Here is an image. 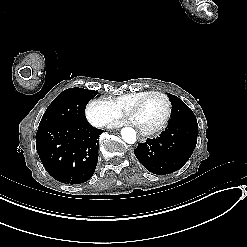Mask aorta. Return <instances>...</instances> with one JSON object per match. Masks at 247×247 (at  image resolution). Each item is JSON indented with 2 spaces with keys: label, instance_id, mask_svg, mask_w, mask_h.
Masks as SVG:
<instances>
[{
  "label": "aorta",
  "instance_id": "762f6f07",
  "mask_svg": "<svg viewBox=\"0 0 247 247\" xmlns=\"http://www.w3.org/2000/svg\"><path fill=\"white\" fill-rule=\"evenodd\" d=\"M122 139L128 143L133 144L136 142V132L133 128L125 127L121 130Z\"/></svg>",
  "mask_w": 247,
  "mask_h": 247
}]
</instances>
